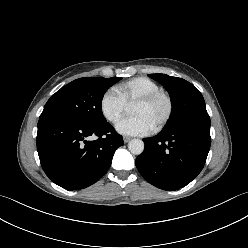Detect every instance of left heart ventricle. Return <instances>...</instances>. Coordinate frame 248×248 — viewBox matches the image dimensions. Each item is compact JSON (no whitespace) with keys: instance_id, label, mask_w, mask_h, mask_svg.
<instances>
[{"instance_id":"left-heart-ventricle-1","label":"left heart ventricle","mask_w":248,"mask_h":248,"mask_svg":"<svg viewBox=\"0 0 248 248\" xmlns=\"http://www.w3.org/2000/svg\"><path fill=\"white\" fill-rule=\"evenodd\" d=\"M166 111L167 103L163 98L148 105L134 104L132 108V113L134 115L143 116L153 126V128L163 119Z\"/></svg>"}]
</instances>
